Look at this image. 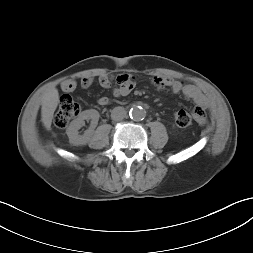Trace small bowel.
Listing matches in <instances>:
<instances>
[{
    "mask_svg": "<svg viewBox=\"0 0 253 253\" xmlns=\"http://www.w3.org/2000/svg\"><path fill=\"white\" fill-rule=\"evenodd\" d=\"M94 82L93 77L85 76L81 79L80 85L83 88H89ZM117 86L114 88L113 93L116 97L127 95L134 86V80L131 76L121 74L116 77ZM98 83L103 88H110L113 83V76L109 74H103L99 76ZM153 84L158 89L170 88L174 94H182L186 99L193 101L195 106L193 108V114L195 120L203 125L206 122V116L204 113L205 108L208 105V100L200 92V90L190 84H184L181 81L175 80L171 77H155ZM77 82L73 79L65 80L61 88L64 92H72L77 87ZM111 103L110 98L102 96L98 99V104L101 106H107Z\"/></svg>",
    "mask_w": 253,
    "mask_h": 253,
    "instance_id": "small-bowel-1",
    "label": "small bowel"
}]
</instances>
